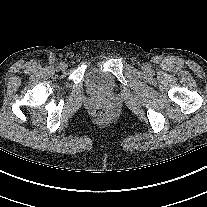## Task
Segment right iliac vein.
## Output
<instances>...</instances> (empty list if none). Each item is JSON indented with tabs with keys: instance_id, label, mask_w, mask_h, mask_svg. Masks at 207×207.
Returning a JSON list of instances; mask_svg holds the SVG:
<instances>
[{
	"instance_id": "right-iliac-vein-1",
	"label": "right iliac vein",
	"mask_w": 207,
	"mask_h": 207,
	"mask_svg": "<svg viewBox=\"0 0 207 207\" xmlns=\"http://www.w3.org/2000/svg\"><path fill=\"white\" fill-rule=\"evenodd\" d=\"M66 67H67V66H66V64H65V63H62V64L60 65V69H61V70H65V69H66Z\"/></svg>"
}]
</instances>
